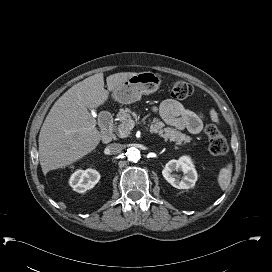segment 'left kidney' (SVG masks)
I'll list each match as a JSON object with an SVG mask.
<instances>
[{"label": "left kidney", "mask_w": 272, "mask_h": 272, "mask_svg": "<svg viewBox=\"0 0 272 272\" xmlns=\"http://www.w3.org/2000/svg\"><path fill=\"white\" fill-rule=\"evenodd\" d=\"M175 171L183 172L182 179L174 173ZM163 177L173 187L177 189L192 188L198 178L192 160L189 156H182L178 160H170L162 170Z\"/></svg>", "instance_id": "obj_1"}]
</instances>
